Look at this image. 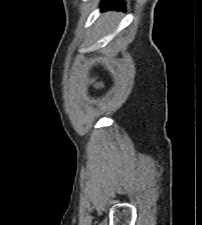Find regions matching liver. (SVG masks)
Wrapping results in <instances>:
<instances>
[{"label":"liver","instance_id":"1","mask_svg":"<svg viewBox=\"0 0 202 225\" xmlns=\"http://www.w3.org/2000/svg\"><path fill=\"white\" fill-rule=\"evenodd\" d=\"M109 15H110V13H107V14H106V17H109Z\"/></svg>","mask_w":202,"mask_h":225}]
</instances>
